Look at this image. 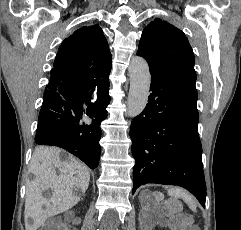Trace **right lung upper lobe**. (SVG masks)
<instances>
[{
	"instance_id": "right-lung-upper-lobe-1",
	"label": "right lung upper lobe",
	"mask_w": 241,
	"mask_h": 230,
	"mask_svg": "<svg viewBox=\"0 0 241 230\" xmlns=\"http://www.w3.org/2000/svg\"><path fill=\"white\" fill-rule=\"evenodd\" d=\"M111 68V53L102 29L84 26L60 45L48 86L63 78L105 80Z\"/></svg>"
}]
</instances>
